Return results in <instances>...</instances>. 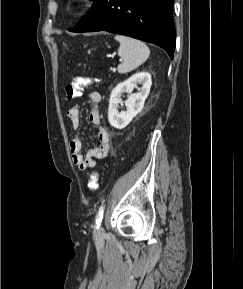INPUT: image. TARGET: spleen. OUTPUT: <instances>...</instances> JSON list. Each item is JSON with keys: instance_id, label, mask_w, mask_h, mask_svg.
Returning a JSON list of instances; mask_svg holds the SVG:
<instances>
[{"instance_id": "obj_1", "label": "spleen", "mask_w": 243, "mask_h": 289, "mask_svg": "<svg viewBox=\"0 0 243 289\" xmlns=\"http://www.w3.org/2000/svg\"><path fill=\"white\" fill-rule=\"evenodd\" d=\"M115 40L120 43L118 55L122 63L117 67L119 73L131 72L148 59L150 50L142 41L123 35H116Z\"/></svg>"}]
</instances>
